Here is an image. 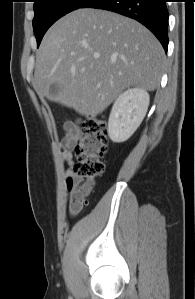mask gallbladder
Returning <instances> with one entry per match:
<instances>
[{
	"label": "gallbladder",
	"mask_w": 195,
	"mask_h": 299,
	"mask_svg": "<svg viewBox=\"0 0 195 299\" xmlns=\"http://www.w3.org/2000/svg\"><path fill=\"white\" fill-rule=\"evenodd\" d=\"M60 91V86L57 83H53L50 87V94L55 96Z\"/></svg>",
	"instance_id": "obj_1"
}]
</instances>
